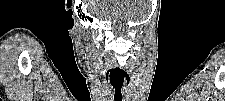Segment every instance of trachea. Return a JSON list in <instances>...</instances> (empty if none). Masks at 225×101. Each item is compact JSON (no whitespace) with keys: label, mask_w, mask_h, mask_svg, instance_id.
Instances as JSON below:
<instances>
[{"label":"trachea","mask_w":225,"mask_h":101,"mask_svg":"<svg viewBox=\"0 0 225 101\" xmlns=\"http://www.w3.org/2000/svg\"><path fill=\"white\" fill-rule=\"evenodd\" d=\"M121 88H122V85L120 87L115 88V95H114L115 101H122Z\"/></svg>","instance_id":"obj_1"}]
</instances>
